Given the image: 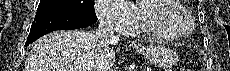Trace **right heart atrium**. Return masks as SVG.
I'll return each mask as SVG.
<instances>
[{
    "label": "right heart atrium",
    "instance_id": "d8ad5b80",
    "mask_svg": "<svg viewBox=\"0 0 230 71\" xmlns=\"http://www.w3.org/2000/svg\"><path fill=\"white\" fill-rule=\"evenodd\" d=\"M95 12L99 21L117 33L135 30L136 14L123 0H97Z\"/></svg>",
    "mask_w": 230,
    "mask_h": 71
}]
</instances>
